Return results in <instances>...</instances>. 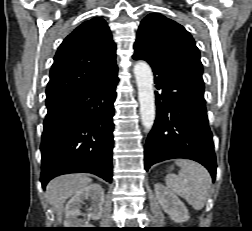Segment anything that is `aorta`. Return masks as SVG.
<instances>
[{
	"label": "aorta",
	"instance_id": "obj_1",
	"mask_svg": "<svg viewBox=\"0 0 252 231\" xmlns=\"http://www.w3.org/2000/svg\"><path fill=\"white\" fill-rule=\"evenodd\" d=\"M134 75L138 87L142 124L147 131H150L155 121L153 73L146 62L139 61L134 66Z\"/></svg>",
	"mask_w": 252,
	"mask_h": 231
}]
</instances>
